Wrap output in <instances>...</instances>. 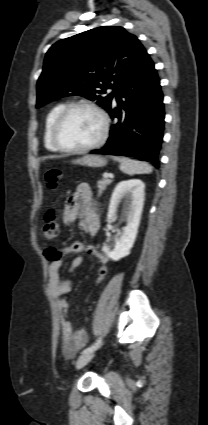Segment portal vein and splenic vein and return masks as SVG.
<instances>
[{
	"instance_id": "obj_1",
	"label": "portal vein and splenic vein",
	"mask_w": 208,
	"mask_h": 425,
	"mask_svg": "<svg viewBox=\"0 0 208 425\" xmlns=\"http://www.w3.org/2000/svg\"><path fill=\"white\" fill-rule=\"evenodd\" d=\"M103 177H104L105 179H107V178H113V175H109V174H107V173H104V174H103Z\"/></svg>"
}]
</instances>
